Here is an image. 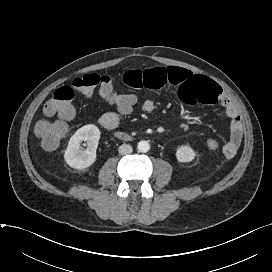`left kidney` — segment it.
Returning <instances> with one entry per match:
<instances>
[{
    "instance_id": "obj_1",
    "label": "left kidney",
    "mask_w": 272,
    "mask_h": 272,
    "mask_svg": "<svg viewBox=\"0 0 272 272\" xmlns=\"http://www.w3.org/2000/svg\"><path fill=\"white\" fill-rule=\"evenodd\" d=\"M176 158L179 162H191L195 158L194 150L186 145L179 146L176 150Z\"/></svg>"
}]
</instances>
